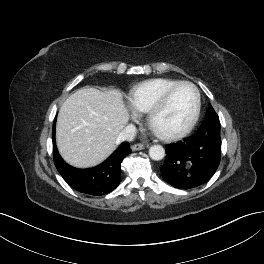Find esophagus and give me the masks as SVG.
<instances>
[{
	"label": "esophagus",
	"instance_id": "esophagus-1",
	"mask_svg": "<svg viewBox=\"0 0 264 264\" xmlns=\"http://www.w3.org/2000/svg\"><path fill=\"white\" fill-rule=\"evenodd\" d=\"M144 147L145 145L143 143H137V144L132 145L131 149L133 151H138V150L144 149Z\"/></svg>",
	"mask_w": 264,
	"mask_h": 264
}]
</instances>
